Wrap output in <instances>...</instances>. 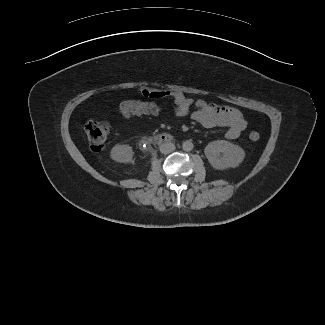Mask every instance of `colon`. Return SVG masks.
Here are the masks:
<instances>
[{
  "label": "colon",
  "instance_id": "1",
  "mask_svg": "<svg viewBox=\"0 0 325 325\" xmlns=\"http://www.w3.org/2000/svg\"><path fill=\"white\" fill-rule=\"evenodd\" d=\"M118 111L125 117H130L132 115L159 116L167 114L169 108L155 101L131 100L120 104ZM110 131L111 125L108 121H88L84 126V135L90 149L94 152L101 151L106 144ZM249 139L252 142H257L260 139V134L255 131L251 132L249 134Z\"/></svg>",
  "mask_w": 325,
  "mask_h": 325
}]
</instances>
